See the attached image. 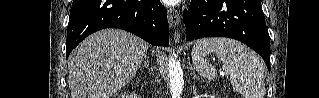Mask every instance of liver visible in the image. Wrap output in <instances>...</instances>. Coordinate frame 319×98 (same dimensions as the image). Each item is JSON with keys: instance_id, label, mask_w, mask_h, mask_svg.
I'll return each mask as SVG.
<instances>
[{"instance_id": "1", "label": "liver", "mask_w": 319, "mask_h": 98, "mask_svg": "<svg viewBox=\"0 0 319 98\" xmlns=\"http://www.w3.org/2000/svg\"><path fill=\"white\" fill-rule=\"evenodd\" d=\"M148 48L147 42L123 30L90 35L69 56L71 98H111L136 75Z\"/></svg>"}]
</instances>
